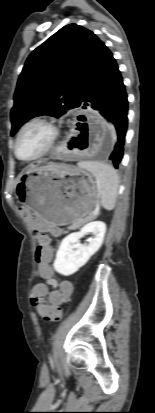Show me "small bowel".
<instances>
[{
	"mask_svg": "<svg viewBox=\"0 0 155 413\" xmlns=\"http://www.w3.org/2000/svg\"><path fill=\"white\" fill-rule=\"evenodd\" d=\"M18 212L28 222L30 231H52L53 234H60L57 222H48L47 218H40L38 214H33L27 205H20ZM48 247V246H47ZM51 252V249L48 247ZM40 268V267H39ZM35 271L36 276H41L45 279V283H38L34 285L31 291L32 294H38L41 297H48L51 293L58 289L57 279L53 277H43L39 271ZM49 268H52L51 266Z\"/></svg>",
	"mask_w": 155,
	"mask_h": 413,
	"instance_id": "small-bowel-1",
	"label": "small bowel"
}]
</instances>
